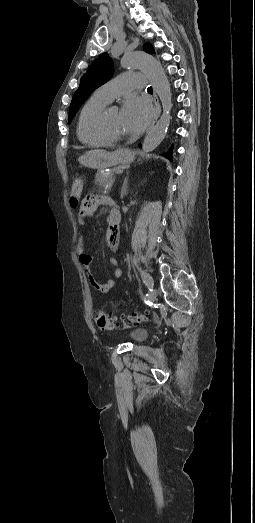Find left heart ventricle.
Listing matches in <instances>:
<instances>
[{
	"label": "left heart ventricle",
	"mask_w": 255,
	"mask_h": 523,
	"mask_svg": "<svg viewBox=\"0 0 255 523\" xmlns=\"http://www.w3.org/2000/svg\"><path fill=\"white\" fill-rule=\"evenodd\" d=\"M106 126L113 134L119 137H133L130 120L124 109H112L106 118Z\"/></svg>",
	"instance_id": "b2bd125f"
}]
</instances>
